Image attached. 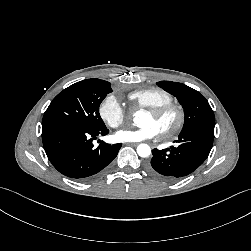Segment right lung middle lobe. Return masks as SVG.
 Here are the masks:
<instances>
[{"label": "right lung middle lobe", "instance_id": "right-lung-middle-lobe-1", "mask_svg": "<svg viewBox=\"0 0 251 251\" xmlns=\"http://www.w3.org/2000/svg\"><path fill=\"white\" fill-rule=\"evenodd\" d=\"M110 92L111 83L95 78L69 86L50 103L43 116L42 128L55 124L93 129L105 126L99 106Z\"/></svg>", "mask_w": 251, "mask_h": 251}]
</instances>
